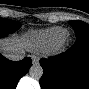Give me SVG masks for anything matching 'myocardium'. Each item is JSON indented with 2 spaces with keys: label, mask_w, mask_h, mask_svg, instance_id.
Wrapping results in <instances>:
<instances>
[{
  "label": "myocardium",
  "mask_w": 89,
  "mask_h": 89,
  "mask_svg": "<svg viewBox=\"0 0 89 89\" xmlns=\"http://www.w3.org/2000/svg\"><path fill=\"white\" fill-rule=\"evenodd\" d=\"M69 40L70 34L65 31L62 36L54 42L53 46L51 47V50L58 51L64 49L65 46L68 44Z\"/></svg>",
  "instance_id": "myocardium-1"
}]
</instances>
